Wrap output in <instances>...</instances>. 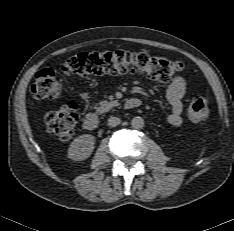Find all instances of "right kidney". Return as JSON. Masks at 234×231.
<instances>
[{
  "label": "right kidney",
  "mask_w": 234,
  "mask_h": 231,
  "mask_svg": "<svg viewBox=\"0 0 234 231\" xmlns=\"http://www.w3.org/2000/svg\"><path fill=\"white\" fill-rule=\"evenodd\" d=\"M95 137L89 134L75 138L68 149V157L72 160L81 161L87 159L93 152Z\"/></svg>",
  "instance_id": "1"
}]
</instances>
